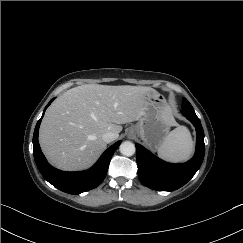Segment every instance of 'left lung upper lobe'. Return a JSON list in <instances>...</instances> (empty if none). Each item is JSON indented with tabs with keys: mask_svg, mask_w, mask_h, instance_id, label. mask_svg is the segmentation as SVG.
<instances>
[{
	"mask_svg": "<svg viewBox=\"0 0 243 243\" xmlns=\"http://www.w3.org/2000/svg\"><path fill=\"white\" fill-rule=\"evenodd\" d=\"M182 109H188L194 111L193 107L191 106V104L188 102L186 98H183Z\"/></svg>",
	"mask_w": 243,
	"mask_h": 243,
	"instance_id": "5c2ea615",
	"label": "left lung upper lobe"
}]
</instances>
